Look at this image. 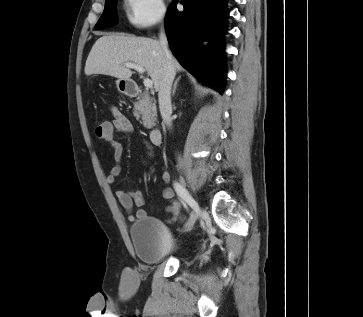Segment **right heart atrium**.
<instances>
[{
	"label": "right heart atrium",
	"mask_w": 363,
	"mask_h": 317,
	"mask_svg": "<svg viewBox=\"0 0 363 317\" xmlns=\"http://www.w3.org/2000/svg\"><path fill=\"white\" fill-rule=\"evenodd\" d=\"M128 22L138 29H146L160 24L166 17L164 0H124Z\"/></svg>",
	"instance_id": "1"
}]
</instances>
